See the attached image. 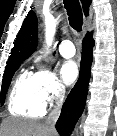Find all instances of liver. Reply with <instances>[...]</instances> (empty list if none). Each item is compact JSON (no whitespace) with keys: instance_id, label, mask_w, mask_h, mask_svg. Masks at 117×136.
<instances>
[{"instance_id":"1","label":"liver","mask_w":117,"mask_h":136,"mask_svg":"<svg viewBox=\"0 0 117 136\" xmlns=\"http://www.w3.org/2000/svg\"><path fill=\"white\" fill-rule=\"evenodd\" d=\"M1 128L3 136H56V132L51 131L45 123L14 117L5 119Z\"/></svg>"}]
</instances>
